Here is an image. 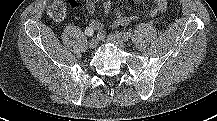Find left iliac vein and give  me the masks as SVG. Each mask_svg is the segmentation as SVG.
<instances>
[{"mask_svg": "<svg viewBox=\"0 0 217 121\" xmlns=\"http://www.w3.org/2000/svg\"><path fill=\"white\" fill-rule=\"evenodd\" d=\"M107 40L113 44H116L120 48L126 47L125 41L121 39L117 34L108 35Z\"/></svg>", "mask_w": 217, "mask_h": 121, "instance_id": "4c4485c4", "label": "left iliac vein"}]
</instances>
